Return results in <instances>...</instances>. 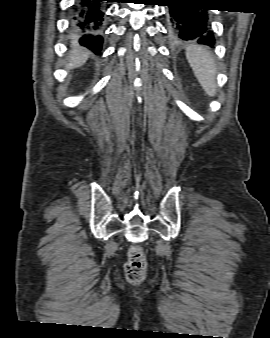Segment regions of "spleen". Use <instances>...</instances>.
<instances>
[{
	"instance_id": "3e777b00",
	"label": "spleen",
	"mask_w": 270,
	"mask_h": 338,
	"mask_svg": "<svg viewBox=\"0 0 270 338\" xmlns=\"http://www.w3.org/2000/svg\"><path fill=\"white\" fill-rule=\"evenodd\" d=\"M186 58L204 91L214 97L217 70L210 52L204 46L190 45L186 48Z\"/></svg>"
}]
</instances>
